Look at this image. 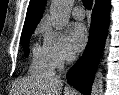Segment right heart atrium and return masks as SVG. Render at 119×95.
Masks as SVG:
<instances>
[{"mask_svg": "<svg viewBox=\"0 0 119 95\" xmlns=\"http://www.w3.org/2000/svg\"><path fill=\"white\" fill-rule=\"evenodd\" d=\"M54 68H61L74 58L67 38L57 31L46 28L44 42Z\"/></svg>", "mask_w": 119, "mask_h": 95, "instance_id": "d8ad5b80", "label": "right heart atrium"}]
</instances>
